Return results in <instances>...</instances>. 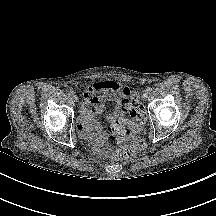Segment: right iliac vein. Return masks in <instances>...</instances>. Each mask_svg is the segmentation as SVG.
Returning <instances> with one entry per match:
<instances>
[{
  "label": "right iliac vein",
  "mask_w": 216,
  "mask_h": 216,
  "mask_svg": "<svg viewBox=\"0 0 216 216\" xmlns=\"http://www.w3.org/2000/svg\"><path fill=\"white\" fill-rule=\"evenodd\" d=\"M72 100H73L74 102H77V101H78L77 95L73 94V95H72Z\"/></svg>",
  "instance_id": "63e3f726"
}]
</instances>
